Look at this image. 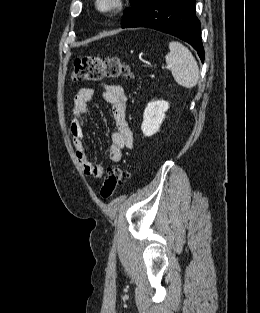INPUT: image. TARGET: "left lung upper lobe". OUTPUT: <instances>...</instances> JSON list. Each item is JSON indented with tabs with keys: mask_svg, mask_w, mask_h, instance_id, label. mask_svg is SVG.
<instances>
[{
	"mask_svg": "<svg viewBox=\"0 0 260 313\" xmlns=\"http://www.w3.org/2000/svg\"><path fill=\"white\" fill-rule=\"evenodd\" d=\"M130 10H125L122 27L129 24L150 2L151 0H130Z\"/></svg>",
	"mask_w": 260,
	"mask_h": 313,
	"instance_id": "5c2ea615",
	"label": "left lung upper lobe"
}]
</instances>
